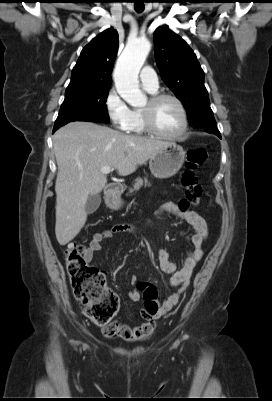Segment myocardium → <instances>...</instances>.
<instances>
[{
    "instance_id": "1",
    "label": "myocardium",
    "mask_w": 272,
    "mask_h": 401,
    "mask_svg": "<svg viewBox=\"0 0 272 401\" xmlns=\"http://www.w3.org/2000/svg\"><path fill=\"white\" fill-rule=\"evenodd\" d=\"M165 99H170L173 100L179 107L181 114H182V120H183V126L182 129L173 135L165 134L161 132L155 125L154 122V108L155 106L162 100ZM141 114H142V119H143V124L147 132L150 134L162 138V139H167V140H176L181 138L182 136L185 135V133L188 130V115H187V110L185 108L184 103L181 101L180 98L177 96L170 94V93H154L153 95L150 96L148 100V104L146 107L141 108Z\"/></svg>"
}]
</instances>
